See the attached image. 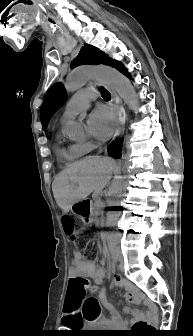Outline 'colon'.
I'll use <instances>...</instances> for the list:
<instances>
[{
	"mask_svg": "<svg viewBox=\"0 0 193 336\" xmlns=\"http://www.w3.org/2000/svg\"><path fill=\"white\" fill-rule=\"evenodd\" d=\"M62 225L67 237L75 244H78L84 247L87 243L85 238H80L79 233L75 226V220L71 216H63L62 217ZM79 286L83 290V295L85 297L87 288H89L88 281L84 280L79 284ZM85 308L87 311L88 319H93L98 313V305L94 299H89L86 304ZM154 327L148 321H139L135 323L132 327L130 332L131 336H147Z\"/></svg>",
	"mask_w": 193,
	"mask_h": 336,
	"instance_id": "colon-1",
	"label": "colon"
}]
</instances>
